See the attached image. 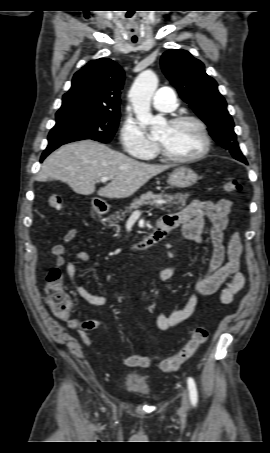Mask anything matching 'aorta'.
Here are the masks:
<instances>
[{
  "instance_id": "762f6f07",
  "label": "aorta",
  "mask_w": 270,
  "mask_h": 453,
  "mask_svg": "<svg viewBox=\"0 0 270 453\" xmlns=\"http://www.w3.org/2000/svg\"><path fill=\"white\" fill-rule=\"evenodd\" d=\"M157 86L156 74L152 70H146L138 75L129 92L137 119L141 124L151 126L152 134L158 133L165 124L162 116L151 113V98Z\"/></svg>"
}]
</instances>
